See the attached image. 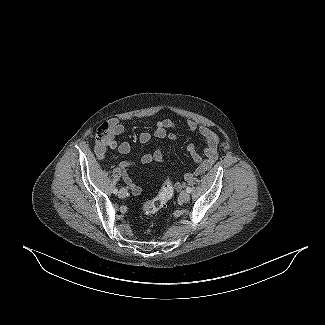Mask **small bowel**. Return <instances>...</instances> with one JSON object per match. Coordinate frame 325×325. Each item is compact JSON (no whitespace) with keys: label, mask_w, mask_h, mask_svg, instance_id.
I'll return each instance as SVG.
<instances>
[{"label":"small bowel","mask_w":325,"mask_h":325,"mask_svg":"<svg viewBox=\"0 0 325 325\" xmlns=\"http://www.w3.org/2000/svg\"><path fill=\"white\" fill-rule=\"evenodd\" d=\"M187 130L189 132H199L205 141V157H202L196 147L192 144L187 146V152L194 161L196 167L193 172L185 174V179H190L194 175H199L208 171L211 166L215 163L218 157V137L216 134L206 126H200L194 120L187 121ZM107 134L103 140L99 141L95 145V154L99 159H103L109 149L116 150L122 155H126L130 152L131 146L129 142L123 141L118 143L116 138L125 133V127L119 119H111L107 122ZM176 128L175 123L170 119H163L156 123L152 131H143L139 135L141 143H147L152 137L157 139H167L169 141H175L176 135L171 130ZM164 159V153L162 148H157L155 151L149 154H145L141 158L143 164L160 163ZM133 165V161H122L119 164L121 170V177L123 181L128 185L131 192L134 195L141 193V188L133 181V179L127 173V169ZM176 188H182L183 184L176 183Z\"/></svg>","instance_id":"small-bowel-1"}]
</instances>
